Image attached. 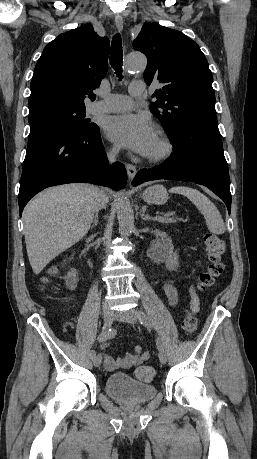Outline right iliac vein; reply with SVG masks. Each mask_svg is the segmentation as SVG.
Returning <instances> with one entry per match:
<instances>
[{
	"instance_id": "right-iliac-vein-1",
	"label": "right iliac vein",
	"mask_w": 257,
	"mask_h": 459,
	"mask_svg": "<svg viewBox=\"0 0 257 459\" xmlns=\"http://www.w3.org/2000/svg\"><path fill=\"white\" fill-rule=\"evenodd\" d=\"M102 316H103V320H104V329L107 330L111 326V324H112V322L114 320V314L110 309L105 308L103 310ZM101 361H102L101 355H97V356L93 357V364H94L95 367H99L101 365Z\"/></svg>"
}]
</instances>
